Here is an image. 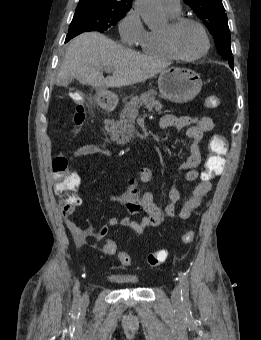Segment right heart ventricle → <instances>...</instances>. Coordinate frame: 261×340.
I'll return each instance as SVG.
<instances>
[{"label": "right heart ventricle", "mask_w": 261, "mask_h": 340, "mask_svg": "<svg viewBox=\"0 0 261 340\" xmlns=\"http://www.w3.org/2000/svg\"><path fill=\"white\" fill-rule=\"evenodd\" d=\"M172 19L178 15L173 16L168 14ZM141 50L148 56L159 58V59H171L173 58L166 50L163 40L162 32L157 31H146L144 36L138 42Z\"/></svg>", "instance_id": "obj_1"}]
</instances>
